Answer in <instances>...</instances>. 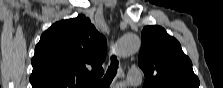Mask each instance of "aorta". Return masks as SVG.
<instances>
[{"instance_id": "obj_1", "label": "aorta", "mask_w": 223, "mask_h": 88, "mask_svg": "<svg viewBox=\"0 0 223 88\" xmlns=\"http://www.w3.org/2000/svg\"><path fill=\"white\" fill-rule=\"evenodd\" d=\"M140 38L135 34H126L118 42L116 53L119 57L124 58L137 52L140 48Z\"/></svg>"}]
</instances>
